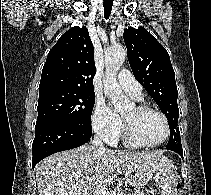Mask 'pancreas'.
<instances>
[{
    "mask_svg": "<svg viewBox=\"0 0 211 195\" xmlns=\"http://www.w3.org/2000/svg\"><path fill=\"white\" fill-rule=\"evenodd\" d=\"M130 195H147V194H145L144 192H140V191H138V190H135V191L132 192V194H130Z\"/></svg>",
    "mask_w": 211,
    "mask_h": 195,
    "instance_id": "pancreas-1",
    "label": "pancreas"
}]
</instances>
